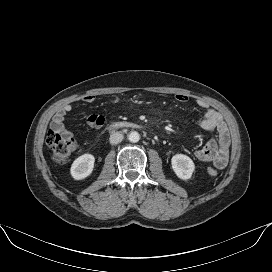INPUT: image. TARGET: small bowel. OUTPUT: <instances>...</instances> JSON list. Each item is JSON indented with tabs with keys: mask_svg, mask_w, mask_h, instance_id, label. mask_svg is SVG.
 I'll return each instance as SVG.
<instances>
[{
	"mask_svg": "<svg viewBox=\"0 0 272 272\" xmlns=\"http://www.w3.org/2000/svg\"><path fill=\"white\" fill-rule=\"evenodd\" d=\"M175 99L178 102H186L188 97L184 94H177ZM86 103L95 101L94 95H87L83 99ZM198 105L206 112L204 116L197 122L198 126L211 134L208 142L200 149L194 152V156L201 162H210L217 170L225 168L228 162L230 133L222 116L214 109L209 108L208 104L199 100ZM72 110L71 104L63 105L55 114L52 120L53 130L59 132L66 138H72L73 133L65 126L66 114ZM105 120L101 115H89L87 123L94 128H99L104 124Z\"/></svg>",
	"mask_w": 272,
	"mask_h": 272,
	"instance_id": "small-bowel-1",
	"label": "small bowel"
}]
</instances>
